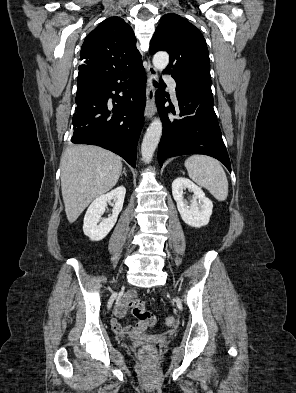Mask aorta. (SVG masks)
<instances>
[{
    "instance_id": "obj_1",
    "label": "aorta",
    "mask_w": 296,
    "mask_h": 393,
    "mask_svg": "<svg viewBox=\"0 0 296 393\" xmlns=\"http://www.w3.org/2000/svg\"><path fill=\"white\" fill-rule=\"evenodd\" d=\"M169 63V55L166 52H157L153 56V65L156 69L162 70ZM162 122L159 118H155L149 125L141 145L142 159L145 163H150L154 152L158 146L162 135Z\"/></svg>"
}]
</instances>
